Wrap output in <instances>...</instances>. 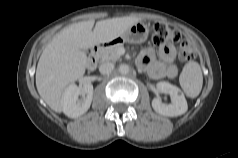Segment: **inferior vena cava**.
Listing matches in <instances>:
<instances>
[{
    "label": "inferior vena cava",
    "instance_id": "obj_1",
    "mask_svg": "<svg viewBox=\"0 0 238 158\" xmlns=\"http://www.w3.org/2000/svg\"><path fill=\"white\" fill-rule=\"evenodd\" d=\"M113 69H114V64L110 62L102 63L99 66V71L103 75L110 74L113 71Z\"/></svg>",
    "mask_w": 238,
    "mask_h": 158
}]
</instances>
